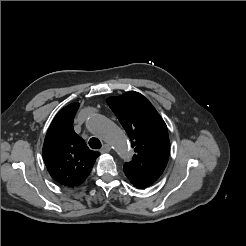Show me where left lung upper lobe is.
I'll return each instance as SVG.
<instances>
[{
  "mask_svg": "<svg viewBox=\"0 0 246 246\" xmlns=\"http://www.w3.org/2000/svg\"><path fill=\"white\" fill-rule=\"evenodd\" d=\"M107 104L126 130L135 154L124 170L155 182L169 158L167 126L153 105L143 95L129 91L110 97Z\"/></svg>",
  "mask_w": 246,
  "mask_h": 246,
  "instance_id": "left-lung-upper-lobe-1",
  "label": "left lung upper lobe"
}]
</instances>
